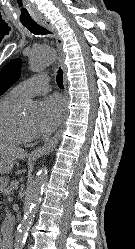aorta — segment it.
I'll return each instance as SVG.
<instances>
[{"instance_id":"762f6f07","label":"aorta","mask_w":135,"mask_h":249,"mask_svg":"<svg viewBox=\"0 0 135 249\" xmlns=\"http://www.w3.org/2000/svg\"><path fill=\"white\" fill-rule=\"evenodd\" d=\"M55 59V50L49 46H37L33 49L29 64L30 69L34 72H41L50 66ZM47 168L42 167L36 174L35 179L29 185L26 193L28 205L24 211L23 218L18 226L14 249H23L29 228L35 218L43 189L47 180Z\"/></svg>"}]
</instances>
